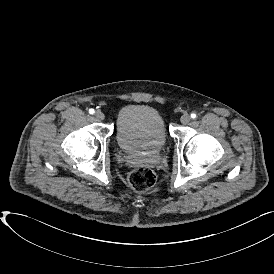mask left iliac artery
<instances>
[{
    "mask_svg": "<svg viewBox=\"0 0 274 274\" xmlns=\"http://www.w3.org/2000/svg\"><path fill=\"white\" fill-rule=\"evenodd\" d=\"M190 116H191V118H193V119L196 118V114H195V113H192Z\"/></svg>",
    "mask_w": 274,
    "mask_h": 274,
    "instance_id": "left-iliac-artery-1",
    "label": "left iliac artery"
}]
</instances>
